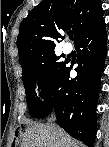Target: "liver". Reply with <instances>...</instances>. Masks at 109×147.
Returning <instances> with one entry per match:
<instances>
[{
  "label": "liver",
  "instance_id": "1",
  "mask_svg": "<svg viewBox=\"0 0 109 147\" xmlns=\"http://www.w3.org/2000/svg\"><path fill=\"white\" fill-rule=\"evenodd\" d=\"M20 147H80V143L59 126L31 124L22 134Z\"/></svg>",
  "mask_w": 109,
  "mask_h": 147
}]
</instances>
